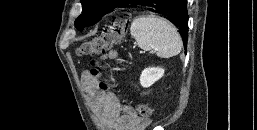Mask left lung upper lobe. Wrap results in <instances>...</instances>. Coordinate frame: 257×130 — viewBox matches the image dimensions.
<instances>
[{
	"mask_svg": "<svg viewBox=\"0 0 257 130\" xmlns=\"http://www.w3.org/2000/svg\"><path fill=\"white\" fill-rule=\"evenodd\" d=\"M133 0H81L82 14L75 21L78 30L90 26L99 21L110 10L122 6L123 4H132Z\"/></svg>",
	"mask_w": 257,
	"mask_h": 130,
	"instance_id": "obj_1",
	"label": "left lung upper lobe"
}]
</instances>
